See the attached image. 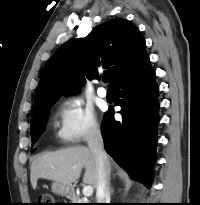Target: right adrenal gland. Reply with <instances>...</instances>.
I'll use <instances>...</instances> for the list:
<instances>
[{"label":"right adrenal gland","instance_id":"obj_1","mask_svg":"<svg viewBox=\"0 0 200 205\" xmlns=\"http://www.w3.org/2000/svg\"><path fill=\"white\" fill-rule=\"evenodd\" d=\"M111 193H113V189L111 188Z\"/></svg>","mask_w":200,"mask_h":205}]
</instances>
